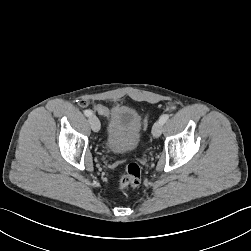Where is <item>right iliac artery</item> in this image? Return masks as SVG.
Returning <instances> with one entry per match:
<instances>
[{
    "label": "right iliac artery",
    "mask_w": 251,
    "mask_h": 251,
    "mask_svg": "<svg viewBox=\"0 0 251 251\" xmlns=\"http://www.w3.org/2000/svg\"><path fill=\"white\" fill-rule=\"evenodd\" d=\"M84 114L87 116V117H90L92 115V111L91 110H85L84 111Z\"/></svg>",
    "instance_id": "82829eb1"
}]
</instances>
